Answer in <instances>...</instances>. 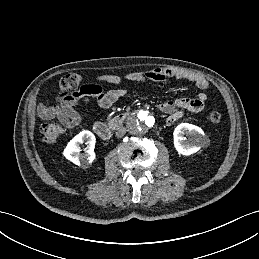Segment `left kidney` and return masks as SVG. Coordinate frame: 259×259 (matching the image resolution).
Wrapping results in <instances>:
<instances>
[{
	"label": "left kidney",
	"mask_w": 259,
	"mask_h": 259,
	"mask_svg": "<svg viewBox=\"0 0 259 259\" xmlns=\"http://www.w3.org/2000/svg\"><path fill=\"white\" fill-rule=\"evenodd\" d=\"M184 134L189 135L187 140ZM174 147L179 154L189 156L198 152L204 142L203 130L189 123H181L174 130Z\"/></svg>",
	"instance_id": "5707ae66"
}]
</instances>
